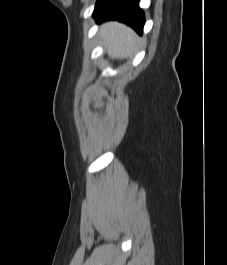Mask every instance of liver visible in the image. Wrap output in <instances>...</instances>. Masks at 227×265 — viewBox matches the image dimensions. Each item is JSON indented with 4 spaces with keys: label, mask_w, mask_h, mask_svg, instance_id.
I'll return each mask as SVG.
<instances>
[{
    "label": "liver",
    "mask_w": 227,
    "mask_h": 265,
    "mask_svg": "<svg viewBox=\"0 0 227 265\" xmlns=\"http://www.w3.org/2000/svg\"><path fill=\"white\" fill-rule=\"evenodd\" d=\"M100 35L104 40L108 55L113 58H125L132 55L140 43V38L132 29L114 21L103 24Z\"/></svg>",
    "instance_id": "liver-1"
}]
</instances>
